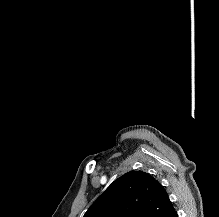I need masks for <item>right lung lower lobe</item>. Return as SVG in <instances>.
Wrapping results in <instances>:
<instances>
[{"mask_svg": "<svg viewBox=\"0 0 219 217\" xmlns=\"http://www.w3.org/2000/svg\"><path fill=\"white\" fill-rule=\"evenodd\" d=\"M167 217H178V214H177V212H176L175 209H174L173 211H171V212L169 213V215H168Z\"/></svg>", "mask_w": 219, "mask_h": 217, "instance_id": "98d812e1", "label": "right lung lower lobe"}]
</instances>
